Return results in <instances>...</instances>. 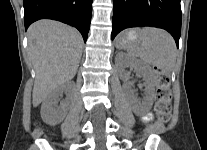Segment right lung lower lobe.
<instances>
[{
	"mask_svg": "<svg viewBox=\"0 0 207 150\" xmlns=\"http://www.w3.org/2000/svg\"><path fill=\"white\" fill-rule=\"evenodd\" d=\"M93 0H24L25 29L39 19L58 20L76 27L86 42Z\"/></svg>",
	"mask_w": 207,
	"mask_h": 150,
	"instance_id": "98d812e1",
	"label": "right lung lower lobe"
}]
</instances>
